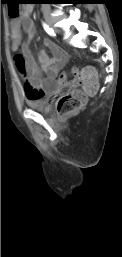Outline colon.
I'll return each instance as SVG.
<instances>
[{
    "label": "colon",
    "mask_w": 122,
    "mask_h": 257,
    "mask_svg": "<svg viewBox=\"0 0 122 257\" xmlns=\"http://www.w3.org/2000/svg\"><path fill=\"white\" fill-rule=\"evenodd\" d=\"M6 10H10L12 18L20 15V5H6ZM16 67V64H14ZM80 84L81 90H74L63 95L58 101V112L65 116H70L79 112L85 105L88 95L94 94L98 89V78L93 68L86 67L72 70H62V74H57L55 84L59 87H70L71 75Z\"/></svg>",
    "instance_id": "colon-1"
}]
</instances>
